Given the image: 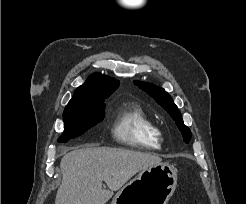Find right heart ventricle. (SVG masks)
Segmentation results:
<instances>
[{"mask_svg": "<svg viewBox=\"0 0 246 204\" xmlns=\"http://www.w3.org/2000/svg\"><path fill=\"white\" fill-rule=\"evenodd\" d=\"M111 133L117 143L130 148L159 149L161 146L159 127L137 104L117 111Z\"/></svg>", "mask_w": 246, "mask_h": 204, "instance_id": "obj_1", "label": "right heart ventricle"}]
</instances>
